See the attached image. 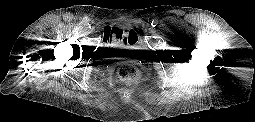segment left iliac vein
<instances>
[{
    "label": "left iliac vein",
    "mask_w": 255,
    "mask_h": 122,
    "mask_svg": "<svg viewBox=\"0 0 255 122\" xmlns=\"http://www.w3.org/2000/svg\"><path fill=\"white\" fill-rule=\"evenodd\" d=\"M155 31H156V30H155L154 27H150V28H149V32H150V33H155Z\"/></svg>",
    "instance_id": "4c4485c4"
}]
</instances>
